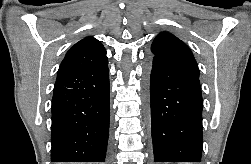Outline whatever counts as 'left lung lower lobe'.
<instances>
[{
    "mask_svg": "<svg viewBox=\"0 0 251 164\" xmlns=\"http://www.w3.org/2000/svg\"><path fill=\"white\" fill-rule=\"evenodd\" d=\"M197 73L149 58L145 80L154 162H201L202 95Z\"/></svg>",
    "mask_w": 251,
    "mask_h": 164,
    "instance_id": "left-lung-lower-lobe-1",
    "label": "left lung lower lobe"
}]
</instances>
